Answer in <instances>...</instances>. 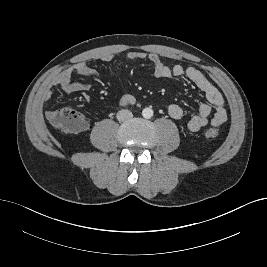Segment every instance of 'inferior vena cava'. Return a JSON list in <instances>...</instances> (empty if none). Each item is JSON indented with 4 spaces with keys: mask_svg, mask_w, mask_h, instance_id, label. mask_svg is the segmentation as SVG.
<instances>
[{
    "mask_svg": "<svg viewBox=\"0 0 267 267\" xmlns=\"http://www.w3.org/2000/svg\"><path fill=\"white\" fill-rule=\"evenodd\" d=\"M132 117H133L132 112L127 109H122L117 113V119L120 122L127 121Z\"/></svg>",
    "mask_w": 267,
    "mask_h": 267,
    "instance_id": "inferior-vena-cava-1",
    "label": "inferior vena cava"
}]
</instances>
